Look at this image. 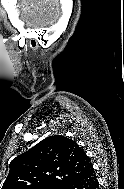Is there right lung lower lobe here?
<instances>
[{"label":"right lung lower lobe","mask_w":124,"mask_h":189,"mask_svg":"<svg viewBox=\"0 0 124 189\" xmlns=\"http://www.w3.org/2000/svg\"><path fill=\"white\" fill-rule=\"evenodd\" d=\"M63 189H99L96 173L92 164L83 174L68 182Z\"/></svg>","instance_id":"98d812e1"}]
</instances>
